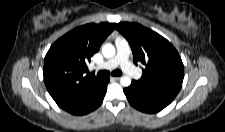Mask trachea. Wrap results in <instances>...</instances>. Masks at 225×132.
Masks as SVG:
<instances>
[{"mask_svg": "<svg viewBox=\"0 0 225 132\" xmlns=\"http://www.w3.org/2000/svg\"><path fill=\"white\" fill-rule=\"evenodd\" d=\"M97 75L99 77H106V76H109L110 75V72L109 71H106V70H103V71L98 72ZM112 75L113 76H121L122 75V72L120 70H114V71H112Z\"/></svg>", "mask_w": 225, "mask_h": 132, "instance_id": "3493384b", "label": "trachea"}]
</instances>
